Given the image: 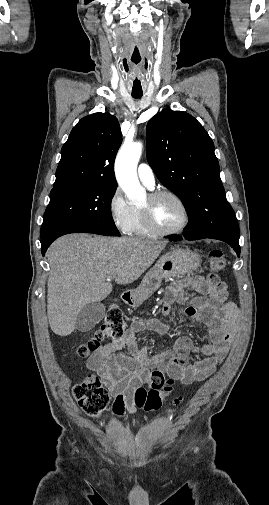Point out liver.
Masks as SVG:
<instances>
[{
  "mask_svg": "<svg viewBox=\"0 0 269 505\" xmlns=\"http://www.w3.org/2000/svg\"><path fill=\"white\" fill-rule=\"evenodd\" d=\"M159 241L142 238H110L70 234L57 239L47 251V315L51 330L59 336L76 328L80 310L104 300L112 291L109 276L117 284L137 280L158 258Z\"/></svg>",
  "mask_w": 269,
  "mask_h": 505,
  "instance_id": "liver-1",
  "label": "liver"
}]
</instances>
